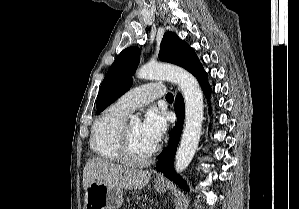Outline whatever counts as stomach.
I'll list each match as a JSON object with an SVG mask.
<instances>
[{"label": "stomach", "instance_id": "1", "mask_svg": "<svg viewBox=\"0 0 299 209\" xmlns=\"http://www.w3.org/2000/svg\"><path fill=\"white\" fill-rule=\"evenodd\" d=\"M157 192L165 191V185L155 183ZM84 209H118L123 202V190L105 183L92 182L85 190Z\"/></svg>", "mask_w": 299, "mask_h": 209}]
</instances>
